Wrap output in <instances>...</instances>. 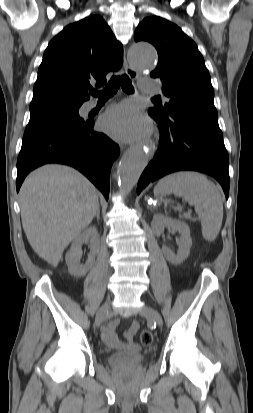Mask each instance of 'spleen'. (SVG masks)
Returning a JSON list of instances; mask_svg holds the SVG:
<instances>
[{
	"label": "spleen",
	"instance_id": "obj_1",
	"mask_svg": "<svg viewBox=\"0 0 253 413\" xmlns=\"http://www.w3.org/2000/svg\"><path fill=\"white\" fill-rule=\"evenodd\" d=\"M171 193L195 207L203 238L215 240L223 220V203L217 186L201 173L182 171L165 176L154 188L155 195Z\"/></svg>",
	"mask_w": 253,
	"mask_h": 413
}]
</instances>
